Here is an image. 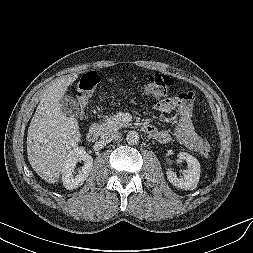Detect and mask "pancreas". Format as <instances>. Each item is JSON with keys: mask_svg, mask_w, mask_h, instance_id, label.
<instances>
[{"mask_svg": "<svg viewBox=\"0 0 253 253\" xmlns=\"http://www.w3.org/2000/svg\"><path fill=\"white\" fill-rule=\"evenodd\" d=\"M128 126V123L122 121L118 116L108 118L105 122L98 125L99 131L102 135L117 131L118 129Z\"/></svg>", "mask_w": 253, "mask_h": 253, "instance_id": "cf45deb5", "label": "pancreas"}]
</instances>
